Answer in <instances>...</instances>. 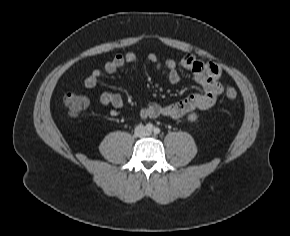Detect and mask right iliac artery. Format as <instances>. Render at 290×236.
Here are the masks:
<instances>
[{"label":"right iliac artery","mask_w":290,"mask_h":236,"mask_svg":"<svg viewBox=\"0 0 290 236\" xmlns=\"http://www.w3.org/2000/svg\"><path fill=\"white\" fill-rule=\"evenodd\" d=\"M153 125L151 124V123H148V124H146V129L148 130V131H152L153 130Z\"/></svg>","instance_id":"1"}]
</instances>
